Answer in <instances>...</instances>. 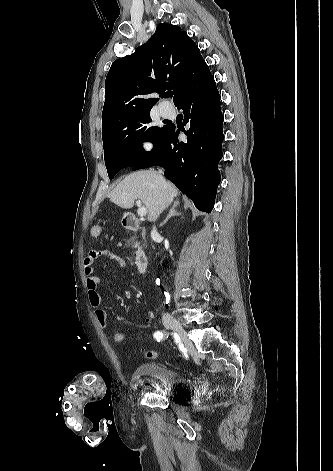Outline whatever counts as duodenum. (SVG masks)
<instances>
[{"mask_svg":"<svg viewBox=\"0 0 333 471\" xmlns=\"http://www.w3.org/2000/svg\"><path fill=\"white\" fill-rule=\"evenodd\" d=\"M123 225L126 229L137 232L140 229L137 218L130 212L123 216ZM135 266L140 274L146 273L148 269V257L144 250L138 248L135 253Z\"/></svg>","mask_w":333,"mask_h":471,"instance_id":"410a0bca","label":"duodenum"}]
</instances>
